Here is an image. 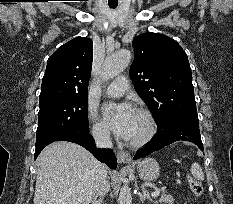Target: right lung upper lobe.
I'll return each instance as SVG.
<instances>
[{
    "label": "right lung upper lobe",
    "mask_w": 233,
    "mask_h": 204,
    "mask_svg": "<svg viewBox=\"0 0 233 204\" xmlns=\"http://www.w3.org/2000/svg\"><path fill=\"white\" fill-rule=\"evenodd\" d=\"M92 47L91 39L77 37L60 46L49 57L42 80L40 101L87 96Z\"/></svg>",
    "instance_id": "obj_1"
}]
</instances>
